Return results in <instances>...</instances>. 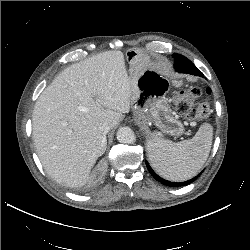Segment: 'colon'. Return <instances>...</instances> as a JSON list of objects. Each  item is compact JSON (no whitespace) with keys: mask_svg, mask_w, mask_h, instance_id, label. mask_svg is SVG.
<instances>
[{"mask_svg":"<svg viewBox=\"0 0 250 250\" xmlns=\"http://www.w3.org/2000/svg\"><path fill=\"white\" fill-rule=\"evenodd\" d=\"M209 92L206 91V95ZM203 93L200 89H189L178 92L174 103L178 111L190 120H199L207 117L210 107L206 100H201Z\"/></svg>","mask_w":250,"mask_h":250,"instance_id":"obj_1","label":"colon"}]
</instances>
